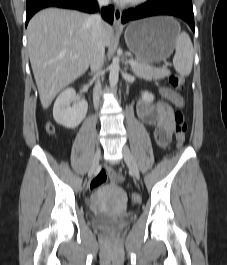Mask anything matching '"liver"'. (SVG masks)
I'll return each instance as SVG.
<instances>
[{"label":"liver","mask_w":227,"mask_h":265,"mask_svg":"<svg viewBox=\"0 0 227 265\" xmlns=\"http://www.w3.org/2000/svg\"><path fill=\"white\" fill-rule=\"evenodd\" d=\"M89 17L78 11L49 8L34 15L28 24L27 48L44 109L89 67ZM102 33L105 45L109 46L113 29L106 22L102 24Z\"/></svg>","instance_id":"obj_1"}]
</instances>
